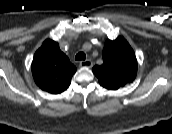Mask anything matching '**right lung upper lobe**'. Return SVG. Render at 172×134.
Masks as SVG:
<instances>
[{"label":"right lung upper lobe","mask_w":172,"mask_h":134,"mask_svg":"<svg viewBox=\"0 0 172 134\" xmlns=\"http://www.w3.org/2000/svg\"><path fill=\"white\" fill-rule=\"evenodd\" d=\"M31 69L35 83L52 94L65 91L77 70L58 43L50 39L45 40L36 51Z\"/></svg>","instance_id":"cb5924a9"}]
</instances>
